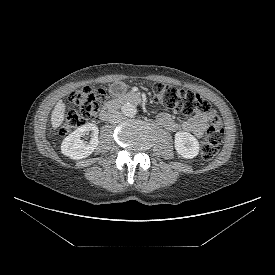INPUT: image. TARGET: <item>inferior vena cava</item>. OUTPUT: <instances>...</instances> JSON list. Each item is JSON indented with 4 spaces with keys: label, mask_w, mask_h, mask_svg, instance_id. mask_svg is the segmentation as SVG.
I'll list each match as a JSON object with an SVG mask.
<instances>
[{
    "label": "inferior vena cava",
    "mask_w": 275,
    "mask_h": 275,
    "mask_svg": "<svg viewBox=\"0 0 275 275\" xmlns=\"http://www.w3.org/2000/svg\"><path fill=\"white\" fill-rule=\"evenodd\" d=\"M122 121V114L118 111L113 112L110 116H109V123L110 124H118L119 122Z\"/></svg>",
    "instance_id": "inferior-vena-cava-1"
}]
</instances>
